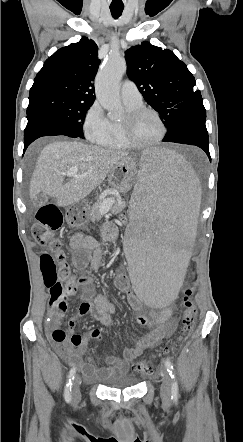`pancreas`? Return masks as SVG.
Wrapping results in <instances>:
<instances>
[{
  "label": "pancreas",
  "instance_id": "obj_1",
  "mask_svg": "<svg viewBox=\"0 0 243 442\" xmlns=\"http://www.w3.org/2000/svg\"><path fill=\"white\" fill-rule=\"evenodd\" d=\"M106 201H111L112 206L109 210L114 214L122 212V210L126 206L125 203L121 202V200L119 199H115L114 197L99 199L92 205V207L88 211V217L92 222L100 220L102 218L103 214L100 212V207Z\"/></svg>",
  "mask_w": 243,
  "mask_h": 442
}]
</instances>
